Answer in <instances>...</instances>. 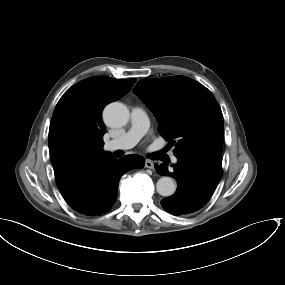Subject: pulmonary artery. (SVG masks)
I'll return each instance as SVG.
<instances>
[{
    "label": "pulmonary artery",
    "instance_id": "1",
    "mask_svg": "<svg viewBox=\"0 0 285 285\" xmlns=\"http://www.w3.org/2000/svg\"><path fill=\"white\" fill-rule=\"evenodd\" d=\"M130 121L131 127L127 132L104 143L105 151L130 149L134 147L147 132L149 122L146 113L142 108L135 107L132 109Z\"/></svg>",
    "mask_w": 285,
    "mask_h": 285
}]
</instances>
